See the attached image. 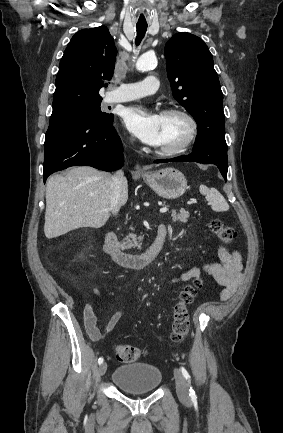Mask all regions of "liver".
Returning <instances> with one entry per match:
<instances>
[{"mask_svg": "<svg viewBox=\"0 0 283 433\" xmlns=\"http://www.w3.org/2000/svg\"><path fill=\"white\" fill-rule=\"evenodd\" d=\"M111 180L110 172H100L92 166H75L66 176H51L46 184L45 237L54 239L80 227H103L113 212ZM127 200L125 178L118 206Z\"/></svg>", "mask_w": 283, "mask_h": 433, "instance_id": "6515ba94", "label": "liver"}]
</instances>
